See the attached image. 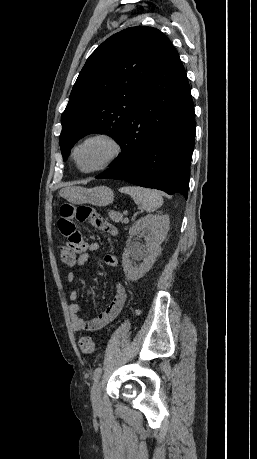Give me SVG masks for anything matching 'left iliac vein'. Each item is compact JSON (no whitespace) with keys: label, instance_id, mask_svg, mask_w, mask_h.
<instances>
[{"label":"left iliac vein","instance_id":"obj_1","mask_svg":"<svg viewBox=\"0 0 257 459\" xmlns=\"http://www.w3.org/2000/svg\"><path fill=\"white\" fill-rule=\"evenodd\" d=\"M91 402L95 409H99L102 406L101 383L99 380L95 381L92 386Z\"/></svg>","mask_w":257,"mask_h":459}]
</instances>
